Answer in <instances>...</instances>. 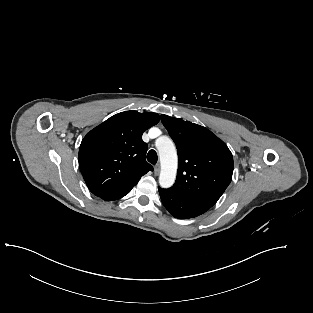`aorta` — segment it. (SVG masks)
Wrapping results in <instances>:
<instances>
[{
    "label": "aorta",
    "mask_w": 313,
    "mask_h": 313,
    "mask_svg": "<svg viewBox=\"0 0 313 313\" xmlns=\"http://www.w3.org/2000/svg\"><path fill=\"white\" fill-rule=\"evenodd\" d=\"M161 141V144L158 146L161 164L159 184L162 188H169L176 179L178 166L177 151L174 143L168 137H162Z\"/></svg>",
    "instance_id": "aorta-1"
}]
</instances>
